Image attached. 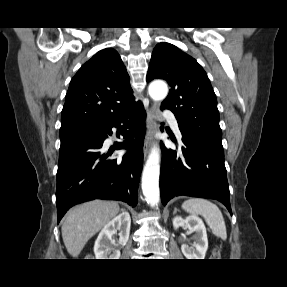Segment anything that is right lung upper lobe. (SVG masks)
Returning <instances> with one entry per match:
<instances>
[{
	"mask_svg": "<svg viewBox=\"0 0 287 287\" xmlns=\"http://www.w3.org/2000/svg\"><path fill=\"white\" fill-rule=\"evenodd\" d=\"M130 78L114 49L95 54L70 82L61 114V127L84 123L96 126L131 109Z\"/></svg>",
	"mask_w": 287,
	"mask_h": 287,
	"instance_id": "right-lung-upper-lobe-1",
	"label": "right lung upper lobe"
}]
</instances>
